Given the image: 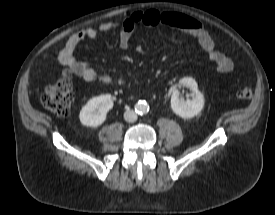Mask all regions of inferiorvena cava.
Wrapping results in <instances>:
<instances>
[{"label": "inferior vena cava", "instance_id": "inferior-vena-cava-1", "mask_svg": "<svg viewBox=\"0 0 275 215\" xmlns=\"http://www.w3.org/2000/svg\"><path fill=\"white\" fill-rule=\"evenodd\" d=\"M124 119L127 121V122H134L137 120V113L133 110H127L125 113H124Z\"/></svg>", "mask_w": 275, "mask_h": 215}]
</instances>
